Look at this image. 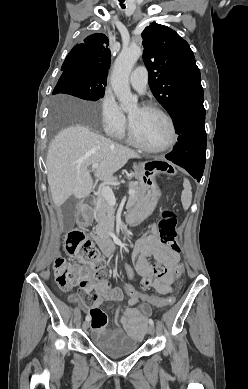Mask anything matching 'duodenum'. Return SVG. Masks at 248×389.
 <instances>
[{
    "instance_id": "obj_1",
    "label": "duodenum",
    "mask_w": 248,
    "mask_h": 389,
    "mask_svg": "<svg viewBox=\"0 0 248 389\" xmlns=\"http://www.w3.org/2000/svg\"><path fill=\"white\" fill-rule=\"evenodd\" d=\"M96 204L97 203H96L95 198L89 197L86 200V203L79 207L77 215H78L79 223L82 226H85L87 224L90 213H91L92 209H94L96 207ZM100 248L106 257L111 258L121 248V243L111 242V241H107V240H101L100 241Z\"/></svg>"
}]
</instances>
